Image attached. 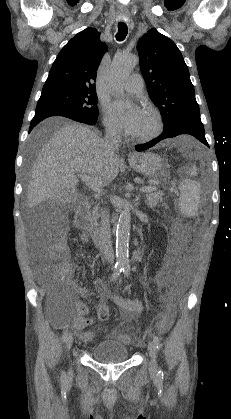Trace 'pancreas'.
Masks as SVG:
<instances>
[{"instance_id":"1","label":"pancreas","mask_w":231,"mask_h":419,"mask_svg":"<svg viewBox=\"0 0 231 419\" xmlns=\"http://www.w3.org/2000/svg\"><path fill=\"white\" fill-rule=\"evenodd\" d=\"M150 187H152L153 190H150V191L146 192L145 197H146V203H147V205L152 208V207L157 206V204L159 202H162L163 201V195H164V193L162 191H160V190H157V187L156 186H150ZM93 214L96 217L99 216L98 207H94Z\"/></svg>"}]
</instances>
